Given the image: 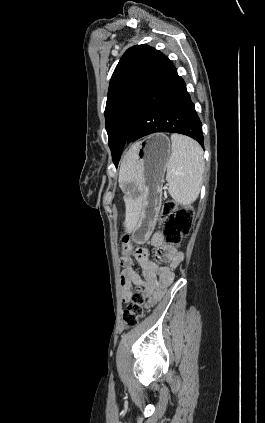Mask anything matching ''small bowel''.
Listing matches in <instances>:
<instances>
[{
	"label": "small bowel",
	"mask_w": 265,
	"mask_h": 423,
	"mask_svg": "<svg viewBox=\"0 0 265 423\" xmlns=\"http://www.w3.org/2000/svg\"><path fill=\"white\" fill-rule=\"evenodd\" d=\"M150 243L157 248L156 261L150 260L149 252L146 248L131 250L127 255L120 258L122 267L120 275L121 295L123 302H129L133 293V285L141 288V294L147 298V308L159 301L168 286L174 281V269L182 262L183 252L174 247L165 246L161 232H154ZM142 269V274H138L133 268L132 257Z\"/></svg>",
	"instance_id": "obj_1"
}]
</instances>
